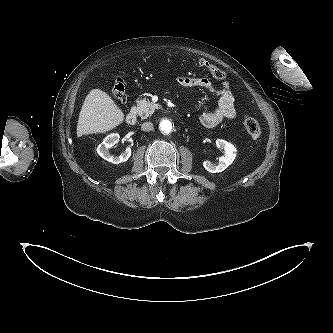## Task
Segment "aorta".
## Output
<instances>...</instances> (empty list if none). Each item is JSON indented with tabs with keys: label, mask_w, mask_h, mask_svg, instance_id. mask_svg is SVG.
<instances>
[{
	"label": "aorta",
	"mask_w": 333,
	"mask_h": 333,
	"mask_svg": "<svg viewBox=\"0 0 333 333\" xmlns=\"http://www.w3.org/2000/svg\"><path fill=\"white\" fill-rule=\"evenodd\" d=\"M172 129V123L169 120H163L160 123V130L164 133H170Z\"/></svg>",
	"instance_id": "1"
}]
</instances>
